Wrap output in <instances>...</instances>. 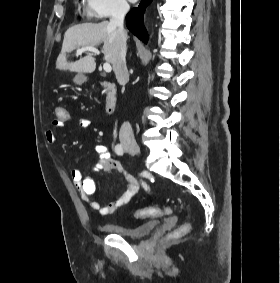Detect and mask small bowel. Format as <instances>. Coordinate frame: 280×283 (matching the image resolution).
<instances>
[{
	"label": "small bowel",
	"instance_id": "1",
	"mask_svg": "<svg viewBox=\"0 0 280 283\" xmlns=\"http://www.w3.org/2000/svg\"><path fill=\"white\" fill-rule=\"evenodd\" d=\"M65 123L66 122H57L56 119L53 121V128L48 129L45 133V139L49 144L55 143L57 139L56 129L63 128ZM89 124L90 121L85 117L78 119V126L81 129L87 128ZM95 152L98 155V160L91 167V171L116 172L123 175L127 188L122 195L107 205L102 206L93 198L96 185L91 176L84 175L82 170L75 168L71 170L70 177L73 184L80 192L82 199L88 203L89 207L100 216H108L126 205L137 194L140 186L138 180L132 174L126 172L118 161L111 158L107 145L97 144L95 146Z\"/></svg>",
	"mask_w": 280,
	"mask_h": 283
}]
</instances>
